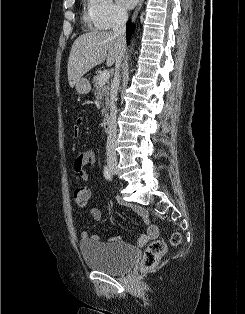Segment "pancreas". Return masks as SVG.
<instances>
[{"label":"pancreas","instance_id":"obj_1","mask_svg":"<svg viewBox=\"0 0 245 314\" xmlns=\"http://www.w3.org/2000/svg\"><path fill=\"white\" fill-rule=\"evenodd\" d=\"M100 75H96L95 77H93V84H94V94L96 95L97 99L102 103V101L104 102L105 106L102 109V115H105V113L107 112L108 108H109V85L105 84H99V79Z\"/></svg>","mask_w":245,"mask_h":314}]
</instances>
